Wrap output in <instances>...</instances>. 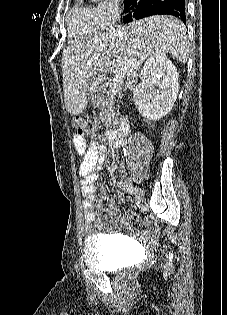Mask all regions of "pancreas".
<instances>
[{"label": "pancreas", "instance_id": "cf45deb5", "mask_svg": "<svg viewBox=\"0 0 227 315\" xmlns=\"http://www.w3.org/2000/svg\"><path fill=\"white\" fill-rule=\"evenodd\" d=\"M100 109H101L100 119L104 123V126L106 128H109L114 120L112 109V97L109 94H106L105 98L101 102Z\"/></svg>", "mask_w": 227, "mask_h": 315}]
</instances>
